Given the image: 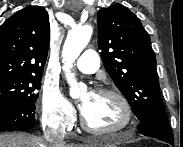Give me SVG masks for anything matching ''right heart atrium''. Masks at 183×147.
Wrapping results in <instances>:
<instances>
[{"label": "right heart atrium", "instance_id": "right-heart-atrium-1", "mask_svg": "<svg viewBox=\"0 0 183 147\" xmlns=\"http://www.w3.org/2000/svg\"><path fill=\"white\" fill-rule=\"evenodd\" d=\"M44 125L57 131H68L75 120V110L54 83H46L41 95Z\"/></svg>", "mask_w": 183, "mask_h": 147}]
</instances>
